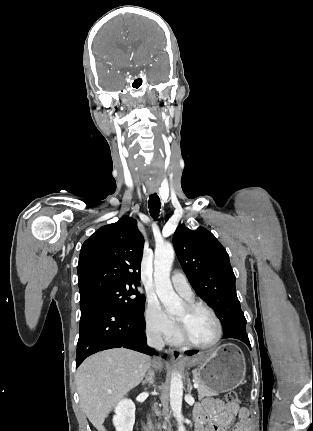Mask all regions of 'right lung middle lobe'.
Wrapping results in <instances>:
<instances>
[{
    "label": "right lung middle lobe",
    "mask_w": 313,
    "mask_h": 431,
    "mask_svg": "<svg viewBox=\"0 0 313 431\" xmlns=\"http://www.w3.org/2000/svg\"><path fill=\"white\" fill-rule=\"evenodd\" d=\"M102 302L115 305L130 313H144L145 298L134 286L131 285H118L103 288L91 295L81 297L80 308L95 303Z\"/></svg>",
    "instance_id": "right-lung-middle-lobe-1"
}]
</instances>
